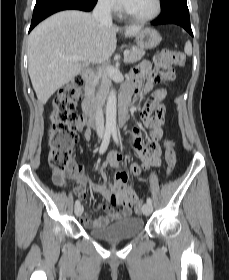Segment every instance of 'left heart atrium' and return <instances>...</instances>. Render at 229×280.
<instances>
[{"mask_svg": "<svg viewBox=\"0 0 229 280\" xmlns=\"http://www.w3.org/2000/svg\"><path fill=\"white\" fill-rule=\"evenodd\" d=\"M129 1L130 0H118V2L124 7L129 3Z\"/></svg>", "mask_w": 229, "mask_h": 280, "instance_id": "left-heart-atrium-1", "label": "left heart atrium"}]
</instances>
